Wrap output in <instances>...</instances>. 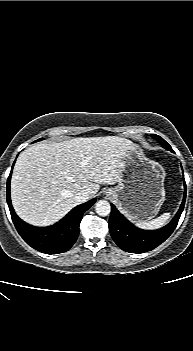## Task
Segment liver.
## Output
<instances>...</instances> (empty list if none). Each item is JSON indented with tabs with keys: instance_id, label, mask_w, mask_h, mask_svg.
<instances>
[{
	"instance_id": "6515ba94",
	"label": "liver",
	"mask_w": 193,
	"mask_h": 351,
	"mask_svg": "<svg viewBox=\"0 0 193 351\" xmlns=\"http://www.w3.org/2000/svg\"><path fill=\"white\" fill-rule=\"evenodd\" d=\"M131 142L117 136L78 137L64 142L38 143L18 157L11 179L16 213L35 226H48L64 217L79 202L78 192L89 198L99 184L120 180L125 152Z\"/></svg>"
}]
</instances>
